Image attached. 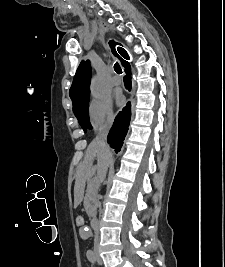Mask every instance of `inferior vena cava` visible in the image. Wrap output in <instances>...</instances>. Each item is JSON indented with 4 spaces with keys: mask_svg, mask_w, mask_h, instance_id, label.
<instances>
[{
    "mask_svg": "<svg viewBox=\"0 0 225 267\" xmlns=\"http://www.w3.org/2000/svg\"><path fill=\"white\" fill-rule=\"evenodd\" d=\"M111 125H112V120H108L107 123L102 127L100 128L96 138H95V142L102 148V150L110 155V149H109V146L107 144V135L109 133V130L111 128ZM106 172H107V167H105L103 169V171L97 176V180L98 182H102L106 176ZM99 244V235H98V232H96V235H95V239H94V245L95 246H98Z\"/></svg>",
    "mask_w": 225,
    "mask_h": 267,
    "instance_id": "602c4592",
    "label": "inferior vena cava"
}]
</instances>
